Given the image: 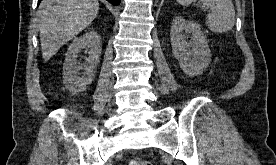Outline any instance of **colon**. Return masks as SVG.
Wrapping results in <instances>:
<instances>
[{"instance_id":"obj_1","label":"colon","mask_w":276,"mask_h":165,"mask_svg":"<svg viewBox=\"0 0 276 165\" xmlns=\"http://www.w3.org/2000/svg\"><path fill=\"white\" fill-rule=\"evenodd\" d=\"M130 165H152V164L147 160L135 158L131 161Z\"/></svg>"}]
</instances>
